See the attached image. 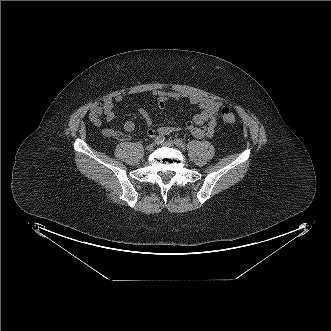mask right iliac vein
Instances as JSON below:
<instances>
[{
    "mask_svg": "<svg viewBox=\"0 0 331 331\" xmlns=\"http://www.w3.org/2000/svg\"><path fill=\"white\" fill-rule=\"evenodd\" d=\"M153 149H154V144L153 143L146 146L147 151H152Z\"/></svg>",
    "mask_w": 331,
    "mask_h": 331,
    "instance_id": "right-iliac-vein-1",
    "label": "right iliac vein"
}]
</instances>
